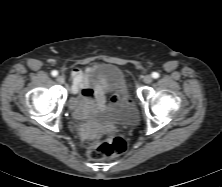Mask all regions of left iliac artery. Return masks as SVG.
<instances>
[{"label": "left iliac artery", "instance_id": "44dca946", "mask_svg": "<svg viewBox=\"0 0 222 187\" xmlns=\"http://www.w3.org/2000/svg\"><path fill=\"white\" fill-rule=\"evenodd\" d=\"M152 77H153V78H158V77H159V73L153 72V73H152Z\"/></svg>", "mask_w": 222, "mask_h": 187}]
</instances>
